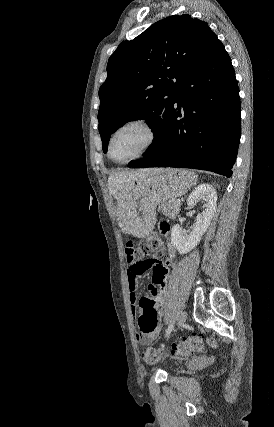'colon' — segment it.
<instances>
[{"instance_id": "obj_1", "label": "colon", "mask_w": 274, "mask_h": 427, "mask_svg": "<svg viewBox=\"0 0 274 427\" xmlns=\"http://www.w3.org/2000/svg\"><path fill=\"white\" fill-rule=\"evenodd\" d=\"M163 226L157 227L150 235L142 239L137 246H135L132 253L135 254V263L140 261L149 260V257L157 253H162L164 247H162V235L165 234ZM208 344H214L212 339L207 340ZM204 343L200 336H191L186 338L183 342L172 347V354L189 358L196 352L202 350ZM154 347H147L146 350H141L139 353L143 364H157L158 356L155 354Z\"/></svg>"}]
</instances>
